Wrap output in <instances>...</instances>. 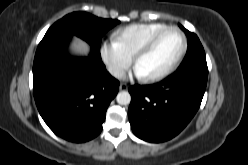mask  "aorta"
Instances as JSON below:
<instances>
[{
  "mask_svg": "<svg viewBox=\"0 0 248 165\" xmlns=\"http://www.w3.org/2000/svg\"><path fill=\"white\" fill-rule=\"evenodd\" d=\"M116 101L120 105H128L131 102V95L127 91H121L117 94Z\"/></svg>",
  "mask_w": 248,
  "mask_h": 165,
  "instance_id": "obj_1",
  "label": "aorta"
}]
</instances>
